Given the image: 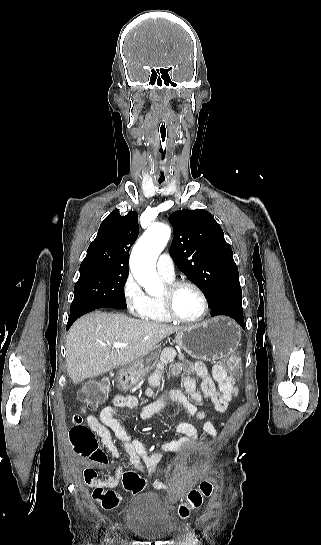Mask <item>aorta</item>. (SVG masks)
I'll list each match as a JSON object with an SVG mask.
<instances>
[{
  "instance_id": "762f6f07",
  "label": "aorta",
  "mask_w": 321,
  "mask_h": 545,
  "mask_svg": "<svg viewBox=\"0 0 321 545\" xmlns=\"http://www.w3.org/2000/svg\"><path fill=\"white\" fill-rule=\"evenodd\" d=\"M170 235L171 230L168 225L152 224L140 237L131 252V272L149 294H157L163 290V283L156 272V261L165 248Z\"/></svg>"
}]
</instances>
